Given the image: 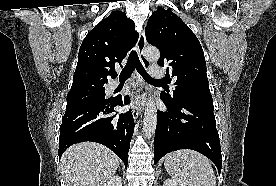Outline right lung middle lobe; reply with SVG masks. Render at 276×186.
Returning a JSON list of instances; mask_svg holds the SVG:
<instances>
[{"label": "right lung middle lobe", "instance_id": "dd1d6c3e", "mask_svg": "<svg viewBox=\"0 0 276 186\" xmlns=\"http://www.w3.org/2000/svg\"><path fill=\"white\" fill-rule=\"evenodd\" d=\"M105 98L104 85H84L79 86L67 94L66 109L92 104H103L110 100Z\"/></svg>", "mask_w": 276, "mask_h": 186}]
</instances>
